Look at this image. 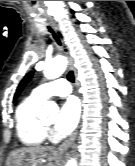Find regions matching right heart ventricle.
<instances>
[{"label": "right heart ventricle", "instance_id": "right-heart-ventricle-1", "mask_svg": "<svg viewBox=\"0 0 135 166\" xmlns=\"http://www.w3.org/2000/svg\"><path fill=\"white\" fill-rule=\"evenodd\" d=\"M43 102L44 100L31 94L23 99L16 109V133L24 146L39 147L47 138V131L43 128L38 116Z\"/></svg>", "mask_w": 135, "mask_h": 166}]
</instances>
